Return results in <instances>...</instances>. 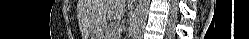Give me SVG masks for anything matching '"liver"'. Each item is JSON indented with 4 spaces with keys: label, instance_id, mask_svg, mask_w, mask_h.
Wrapping results in <instances>:
<instances>
[{
    "label": "liver",
    "instance_id": "6515ba94",
    "mask_svg": "<svg viewBox=\"0 0 249 39\" xmlns=\"http://www.w3.org/2000/svg\"><path fill=\"white\" fill-rule=\"evenodd\" d=\"M78 6L86 39L96 27L103 26L108 20L121 18L126 0H80Z\"/></svg>",
    "mask_w": 249,
    "mask_h": 39
}]
</instances>
